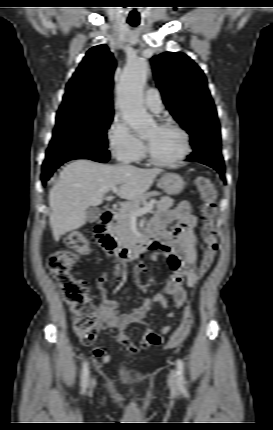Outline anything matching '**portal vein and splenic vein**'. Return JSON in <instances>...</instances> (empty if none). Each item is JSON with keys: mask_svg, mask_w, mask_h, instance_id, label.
Masks as SVG:
<instances>
[{"mask_svg": "<svg viewBox=\"0 0 273 430\" xmlns=\"http://www.w3.org/2000/svg\"><path fill=\"white\" fill-rule=\"evenodd\" d=\"M111 190H112L113 193H117L118 192V187H112ZM155 203H156V200L152 199L144 207L139 208L135 212H132V214H131V220H135L138 216H143L144 214H146L148 212H151V210L153 209V206H154Z\"/></svg>", "mask_w": 273, "mask_h": 430, "instance_id": "18ae733b", "label": "portal vein and splenic vein"}]
</instances>
